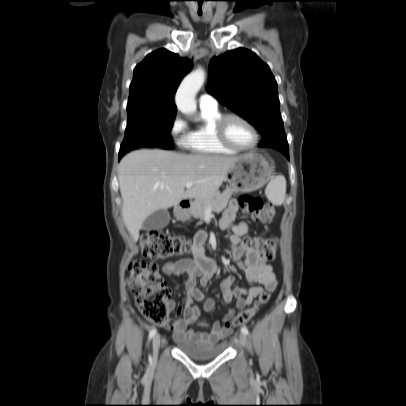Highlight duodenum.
I'll list each match as a JSON object with an SVG mask.
<instances>
[{
    "instance_id": "duodenum-1",
    "label": "duodenum",
    "mask_w": 406,
    "mask_h": 406,
    "mask_svg": "<svg viewBox=\"0 0 406 406\" xmlns=\"http://www.w3.org/2000/svg\"><path fill=\"white\" fill-rule=\"evenodd\" d=\"M190 206H191V203H190L189 200H181L178 203V210L183 211V210H186V209L190 208Z\"/></svg>"
}]
</instances>
